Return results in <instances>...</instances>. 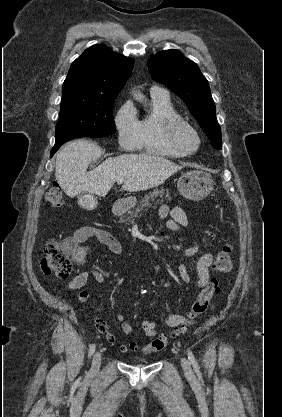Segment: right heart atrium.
Masks as SVG:
<instances>
[{
	"mask_svg": "<svg viewBox=\"0 0 282 417\" xmlns=\"http://www.w3.org/2000/svg\"><path fill=\"white\" fill-rule=\"evenodd\" d=\"M115 124L119 134V143L126 150L140 147V134L136 117L131 113L129 104H125L119 111Z\"/></svg>",
	"mask_w": 282,
	"mask_h": 417,
	"instance_id": "right-heart-atrium-1",
	"label": "right heart atrium"
}]
</instances>
